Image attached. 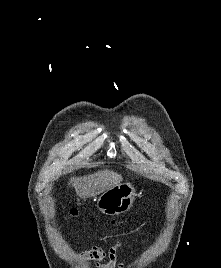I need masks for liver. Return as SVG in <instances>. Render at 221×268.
Here are the masks:
<instances>
[{
    "mask_svg": "<svg viewBox=\"0 0 221 268\" xmlns=\"http://www.w3.org/2000/svg\"><path fill=\"white\" fill-rule=\"evenodd\" d=\"M120 174L111 170H102L83 177H72L69 185L75 188L81 199L95 197L122 182Z\"/></svg>",
    "mask_w": 221,
    "mask_h": 268,
    "instance_id": "6515ba94",
    "label": "liver"
}]
</instances>
